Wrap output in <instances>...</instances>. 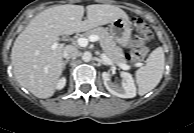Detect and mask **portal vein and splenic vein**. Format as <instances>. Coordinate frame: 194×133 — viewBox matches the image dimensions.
Returning a JSON list of instances; mask_svg holds the SVG:
<instances>
[{"label": "portal vein and splenic vein", "mask_w": 194, "mask_h": 133, "mask_svg": "<svg viewBox=\"0 0 194 133\" xmlns=\"http://www.w3.org/2000/svg\"><path fill=\"white\" fill-rule=\"evenodd\" d=\"M100 38H99V36L98 35H91V36H89L88 38H79L78 40H77V43H78V45L79 46H81V47H86L87 45H88V43H89V41H91V42H96V41H98ZM57 47V43H54L53 45H52V49H55ZM120 67L121 68H124V69H126V68H128V66L127 65H125V64H122V65H120Z\"/></svg>", "instance_id": "1"}]
</instances>
